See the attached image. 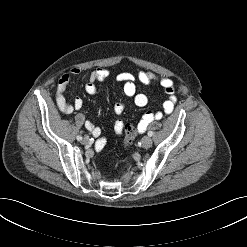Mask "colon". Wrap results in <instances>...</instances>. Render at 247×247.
I'll use <instances>...</instances> for the list:
<instances>
[{
  "label": "colon",
  "instance_id": "obj_1",
  "mask_svg": "<svg viewBox=\"0 0 247 247\" xmlns=\"http://www.w3.org/2000/svg\"><path fill=\"white\" fill-rule=\"evenodd\" d=\"M124 145L128 148L136 136V128L132 124H127L124 127Z\"/></svg>",
  "mask_w": 247,
  "mask_h": 247
}]
</instances>
